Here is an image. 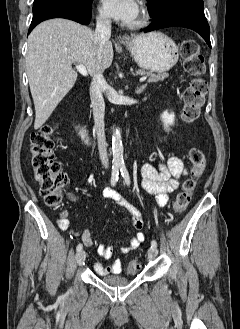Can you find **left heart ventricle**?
Returning <instances> with one entry per match:
<instances>
[{"instance_id": "obj_1", "label": "left heart ventricle", "mask_w": 240, "mask_h": 329, "mask_svg": "<svg viewBox=\"0 0 240 329\" xmlns=\"http://www.w3.org/2000/svg\"><path fill=\"white\" fill-rule=\"evenodd\" d=\"M138 17H139V14L137 15V17L132 22L136 21L138 19Z\"/></svg>"}]
</instances>
